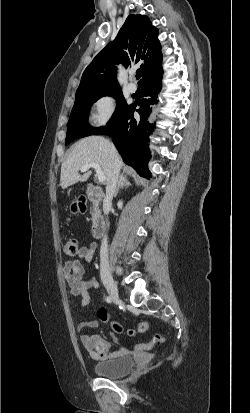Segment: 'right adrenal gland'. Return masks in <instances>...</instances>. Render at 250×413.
Here are the masks:
<instances>
[{"label": "right adrenal gland", "instance_id": "1", "mask_svg": "<svg viewBox=\"0 0 250 413\" xmlns=\"http://www.w3.org/2000/svg\"><path fill=\"white\" fill-rule=\"evenodd\" d=\"M129 186H131V183L128 181L127 176L124 174H121L118 180V184L115 190L114 197L117 196L120 188L129 187Z\"/></svg>", "mask_w": 250, "mask_h": 413}]
</instances>
